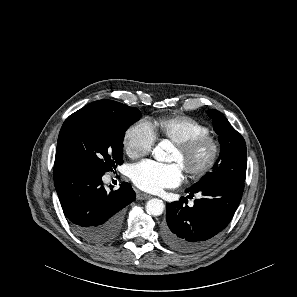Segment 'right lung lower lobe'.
Listing matches in <instances>:
<instances>
[{
    "label": "right lung lower lobe",
    "mask_w": 297,
    "mask_h": 297,
    "mask_svg": "<svg viewBox=\"0 0 297 297\" xmlns=\"http://www.w3.org/2000/svg\"><path fill=\"white\" fill-rule=\"evenodd\" d=\"M102 176L82 167L54 166L55 188L65 216L81 237L94 243H107L118 236L123 208L135 199L126 182L107 192Z\"/></svg>",
    "instance_id": "98d812e1"
}]
</instances>
